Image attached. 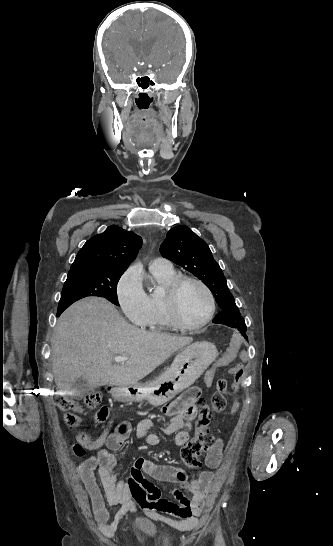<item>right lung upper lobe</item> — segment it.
<instances>
[{
	"mask_svg": "<svg viewBox=\"0 0 333 546\" xmlns=\"http://www.w3.org/2000/svg\"><path fill=\"white\" fill-rule=\"evenodd\" d=\"M141 246L140 236L112 225L85 243L68 274L84 273L95 267L126 270Z\"/></svg>",
	"mask_w": 333,
	"mask_h": 546,
	"instance_id": "obj_1",
	"label": "right lung upper lobe"
}]
</instances>
